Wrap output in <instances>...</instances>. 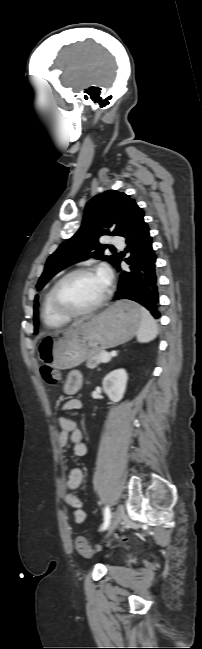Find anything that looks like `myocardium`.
Returning <instances> with one entry per match:
<instances>
[{
  "label": "myocardium",
  "instance_id": "myocardium-1",
  "mask_svg": "<svg viewBox=\"0 0 202 649\" xmlns=\"http://www.w3.org/2000/svg\"><path fill=\"white\" fill-rule=\"evenodd\" d=\"M96 268L91 267V266H83V267H78L75 268L65 275H63L58 281L54 284L53 289H52V302L55 307V309L62 315L67 316V317H82L86 316L89 314L94 313L98 309H100L110 298L111 293H112V288H111V282L107 284L106 291L104 295L101 297L99 301H97L94 305L90 306L89 308L82 309V310H77L69 307L64 300L62 299L61 296V288L63 284L70 279L73 276L80 275V274H88V273H93L96 272Z\"/></svg>",
  "mask_w": 202,
  "mask_h": 649
}]
</instances>
